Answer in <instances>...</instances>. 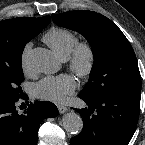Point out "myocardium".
<instances>
[{
  "label": "myocardium",
  "instance_id": "1",
  "mask_svg": "<svg viewBox=\"0 0 145 145\" xmlns=\"http://www.w3.org/2000/svg\"><path fill=\"white\" fill-rule=\"evenodd\" d=\"M69 68L79 77H88L95 66L96 56L89 42H78L67 58Z\"/></svg>",
  "mask_w": 145,
  "mask_h": 145
}]
</instances>
